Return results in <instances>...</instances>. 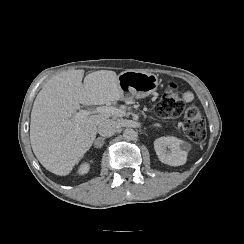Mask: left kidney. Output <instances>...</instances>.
<instances>
[{
    "mask_svg": "<svg viewBox=\"0 0 244 244\" xmlns=\"http://www.w3.org/2000/svg\"><path fill=\"white\" fill-rule=\"evenodd\" d=\"M185 142L173 137H160L154 141V149L159 160L170 166H180L186 163L187 151Z\"/></svg>",
    "mask_w": 244,
    "mask_h": 244,
    "instance_id": "5707ae66",
    "label": "left kidney"
}]
</instances>
